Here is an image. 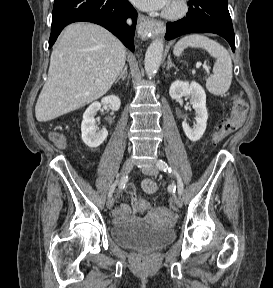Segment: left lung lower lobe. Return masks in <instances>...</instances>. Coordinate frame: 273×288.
<instances>
[{
	"label": "left lung lower lobe",
	"mask_w": 273,
	"mask_h": 288,
	"mask_svg": "<svg viewBox=\"0 0 273 288\" xmlns=\"http://www.w3.org/2000/svg\"><path fill=\"white\" fill-rule=\"evenodd\" d=\"M204 32L224 37L235 52V36L227 0H190L186 17L167 23L165 38L171 40L188 33Z\"/></svg>",
	"instance_id": "0a47b994"
}]
</instances>
